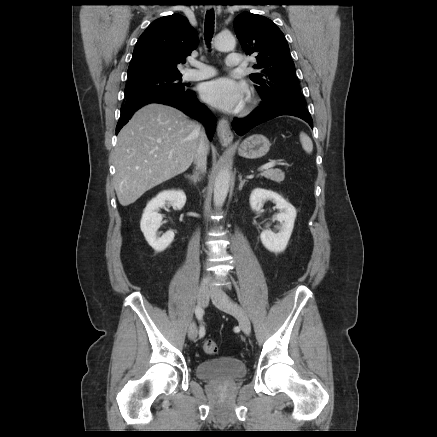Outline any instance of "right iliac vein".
<instances>
[{
    "label": "right iliac vein",
    "instance_id": "obj_1",
    "mask_svg": "<svg viewBox=\"0 0 437 437\" xmlns=\"http://www.w3.org/2000/svg\"><path fill=\"white\" fill-rule=\"evenodd\" d=\"M210 290L207 286H201L197 295V303L200 307H206L209 302ZM198 335V328L195 323H191L188 329V337L195 340Z\"/></svg>",
    "mask_w": 437,
    "mask_h": 437
}]
</instances>
